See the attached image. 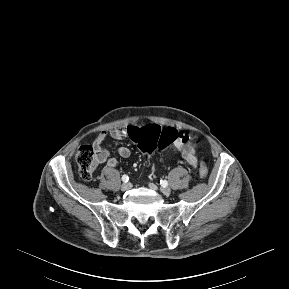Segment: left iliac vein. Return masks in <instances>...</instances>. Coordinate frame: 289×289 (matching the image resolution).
Listing matches in <instances>:
<instances>
[{
    "mask_svg": "<svg viewBox=\"0 0 289 289\" xmlns=\"http://www.w3.org/2000/svg\"><path fill=\"white\" fill-rule=\"evenodd\" d=\"M149 187L152 190H156L157 187L153 184V183H149ZM160 191L164 194V195H169L171 193V189L169 187H161Z\"/></svg>",
    "mask_w": 289,
    "mask_h": 289,
    "instance_id": "4c4485c4",
    "label": "left iliac vein"
}]
</instances>
